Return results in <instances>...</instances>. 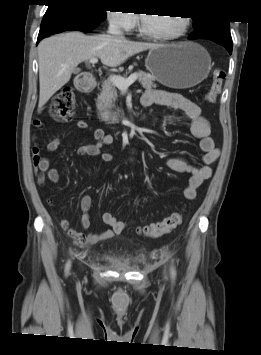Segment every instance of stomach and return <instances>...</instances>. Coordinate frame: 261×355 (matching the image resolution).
<instances>
[{
  "label": "stomach",
  "mask_w": 261,
  "mask_h": 355,
  "mask_svg": "<svg viewBox=\"0 0 261 355\" xmlns=\"http://www.w3.org/2000/svg\"><path fill=\"white\" fill-rule=\"evenodd\" d=\"M145 64L161 84L184 89L199 84L208 76L211 57L197 43L180 42L151 48Z\"/></svg>",
  "instance_id": "stomach-1"
}]
</instances>
